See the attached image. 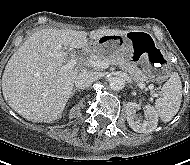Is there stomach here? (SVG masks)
I'll return each instance as SVG.
<instances>
[{"label":"stomach","instance_id":"1","mask_svg":"<svg viewBox=\"0 0 190 165\" xmlns=\"http://www.w3.org/2000/svg\"><path fill=\"white\" fill-rule=\"evenodd\" d=\"M132 36L133 34L131 32L125 35H103L92 43V49L107 57L123 58L126 56V48H133ZM149 49H152V46H149ZM148 53V50H146L144 56H148ZM161 64L159 68H152L151 64L149 62L147 63L144 72L149 80L162 81L169 75V65L164 62H161Z\"/></svg>","mask_w":190,"mask_h":165}]
</instances>
